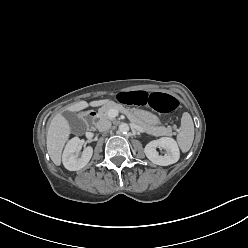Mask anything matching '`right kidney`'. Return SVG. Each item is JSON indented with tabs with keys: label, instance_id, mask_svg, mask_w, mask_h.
Returning a JSON list of instances; mask_svg holds the SVG:
<instances>
[{
	"label": "right kidney",
	"instance_id": "obj_1",
	"mask_svg": "<svg viewBox=\"0 0 248 248\" xmlns=\"http://www.w3.org/2000/svg\"><path fill=\"white\" fill-rule=\"evenodd\" d=\"M80 147V139L78 137L72 138L66 145L62 161L64 167L69 171H78L85 167L88 162L90 161L92 154H93V148L88 146L83 150V153L80 158L77 156V151Z\"/></svg>",
	"mask_w": 248,
	"mask_h": 248
}]
</instances>
